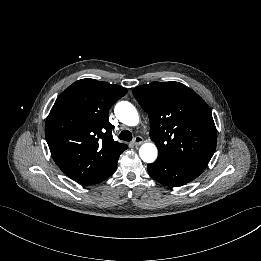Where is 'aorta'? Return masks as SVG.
Masks as SVG:
<instances>
[{"instance_id": "762f6f07", "label": "aorta", "mask_w": 261, "mask_h": 261, "mask_svg": "<svg viewBox=\"0 0 261 261\" xmlns=\"http://www.w3.org/2000/svg\"><path fill=\"white\" fill-rule=\"evenodd\" d=\"M116 113L121 120L128 126H136L139 123V115L136 109L127 102L119 103L116 107ZM140 156L145 162H152L157 155L156 146L153 143H144L140 149Z\"/></svg>"}]
</instances>
